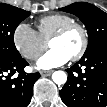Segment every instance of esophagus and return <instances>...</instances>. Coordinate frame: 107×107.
<instances>
[{
  "mask_svg": "<svg viewBox=\"0 0 107 107\" xmlns=\"http://www.w3.org/2000/svg\"><path fill=\"white\" fill-rule=\"evenodd\" d=\"M52 73H53L52 70H49V71H41V75H42L43 77L50 76Z\"/></svg>",
  "mask_w": 107,
  "mask_h": 107,
  "instance_id": "esophagus-1",
  "label": "esophagus"
}]
</instances>
